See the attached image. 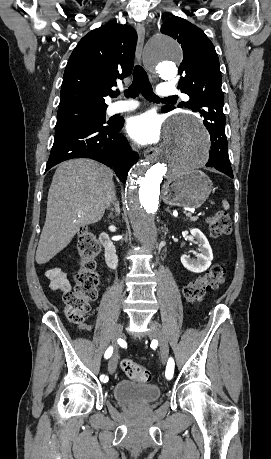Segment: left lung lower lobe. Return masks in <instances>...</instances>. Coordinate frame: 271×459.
Segmentation results:
<instances>
[{"instance_id":"left-lung-lower-lobe-1","label":"left lung lower lobe","mask_w":271,"mask_h":459,"mask_svg":"<svg viewBox=\"0 0 271 459\" xmlns=\"http://www.w3.org/2000/svg\"><path fill=\"white\" fill-rule=\"evenodd\" d=\"M225 117H204L203 123L210 133L211 150L206 166L214 167L233 178L228 156V143L225 135Z\"/></svg>"}]
</instances>
